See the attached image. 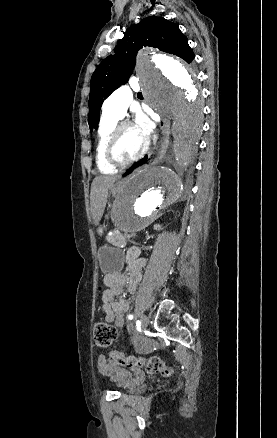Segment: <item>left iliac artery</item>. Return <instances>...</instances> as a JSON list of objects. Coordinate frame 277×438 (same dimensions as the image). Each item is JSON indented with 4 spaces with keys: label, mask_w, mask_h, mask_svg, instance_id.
<instances>
[{
    "label": "left iliac artery",
    "mask_w": 277,
    "mask_h": 438,
    "mask_svg": "<svg viewBox=\"0 0 277 438\" xmlns=\"http://www.w3.org/2000/svg\"><path fill=\"white\" fill-rule=\"evenodd\" d=\"M133 317H134V316H133L132 314H130V315L128 316V319H129V320H132Z\"/></svg>",
    "instance_id": "obj_1"
}]
</instances>
